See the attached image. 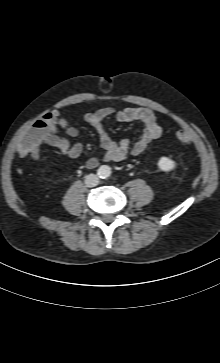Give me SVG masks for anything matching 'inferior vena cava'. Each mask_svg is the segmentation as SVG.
I'll return each instance as SVG.
<instances>
[{
  "instance_id": "inferior-vena-cava-1",
  "label": "inferior vena cava",
  "mask_w": 220,
  "mask_h": 363,
  "mask_svg": "<svg viewBox=\"0 0 220 363\" xmlns=\"http://www.w3.org/2000/svg\"><path fill=\"white\" fill-rule=\"evenodd\" d=\"M98 183H99V179H98L97 175H95V174H89L85 178V184L87 187H94V186L98 185Z\"/></svg>"
}]
</instances>
